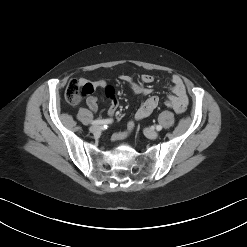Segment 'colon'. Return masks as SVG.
I'll return each mask as SVG.
<instances>
[{"label":"colon","instance_id":"colon-1","mask_svg":"<svg viewBox=\"0 0 247 247\" xmlns=\"http://www.w3.org/2000/svg\"><path fill=\"white\" fill-rule=\"evenodd\" d=\"M92 92L93 88L89 84L82 85L79 81L73 80L66 87L65 99L70 105H77L84 96ZM164 105L174 110V103L170 99L165 100Z\"/></svg>","mask_w":247,"mask_h":247}]
</instances>
